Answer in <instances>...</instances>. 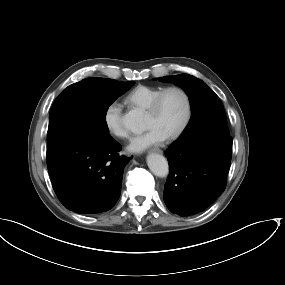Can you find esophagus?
<instances>
[{"mask_svg":"<svg viewBox=\"0 0 285 285\" xmlns=\"http://www.w3.org/2000/svg\"><path fill=\"white\" fill-rule=\"evenodd\" d=\"M152 151H153V152L160 153V154L163 153V151H162L161 149H159V148H153Z\"/></svg>","mask_w":285,"mask_h":285,"instance_id":"obj_1","label":"esophagus"}]
</instances>
